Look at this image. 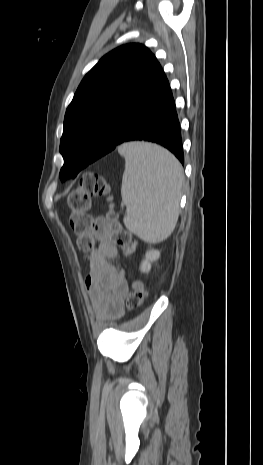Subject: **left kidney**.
Returning <instances> with one entry per match:
<instances>
[{
    "label": "left kidney",
    "mask_w": 263,
    "mask_h": 465,
    "mask_svg": "<svg viewBox=\"0 0 263 465\" xmlns=\"http://www.w3.org/2000/svg\"><path fill=\"white\" fill-rule=\"evenodd\" d=\"M159 257V252L156 250H149L146 252L145 259L142 261L140 270L143 273H148L151 269V263L157 260Z\"/></svg>",
    "instance_id": "obj_1"
}]
</instances>
